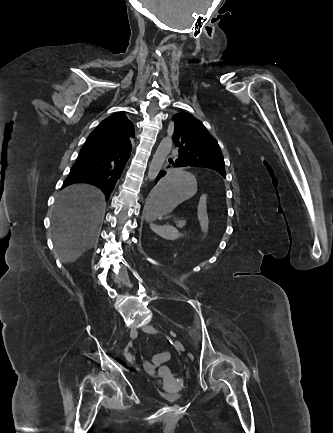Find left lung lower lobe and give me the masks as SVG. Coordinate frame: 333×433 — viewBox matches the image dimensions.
<instances>
[{
    "instance_id": "left-lung-lower-lobe-1",
    "label": "left lung lower lobe",
    "mask_w": 333,
    "mask_h": 433,
    "mask_svg": "<svg viewBox=\"0 0 333 433\" xmlns=\"http://www.w3.org/2000/svg\"><path fill=\"white\" fill-rule=\"evenodd\" d=\"M169 163H170L171 165L168 166V168L170 167V168L174 169V168H180V167H183L177 159H176V160L169 159ZM166 173H167L166 171H160L159 174H158V176L156 177V182H155V183H157V182L159 181V179L162 178ZM154 203H155L154 198H151V199L148 198V199H147V204H146V206H145V212H146L147 214H148L150 211H152V209H153V207H154V205H155Z\"/></svg>"
}]
</instances>
